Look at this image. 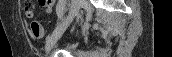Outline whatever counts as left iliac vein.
Instances as JSON below:
<instances>
[{
  "label": "left iliac vein",
  "mask_w": 172,
  "mask_h": 57,
  "mask_svg": "<svg viewBox=\"0 0 172 57\" xmlns=\"http://www.w3.org/2000/svg\"><path fill=\"white\" fill-rule=\"evenodd\" d=\"M82 0H72L69 5V13L65 17L64 21L56 27L53 33L47 38L46 41V52H49L58 38L64 33V31L68 28L73 18L78 14L80 8L83 5Z\"/></svg>",
  "instance_id": "left-iliac-vein-1"
}]
</instances>
